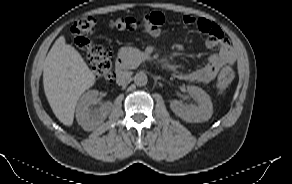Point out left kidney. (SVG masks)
<instances>
[{
    "mask_svg": "<svg viewBox=\"0 0 292 184\" xmlns=\"http://www.w3.org/2000/svg\"><path fill=\"white\" fill-rule=\"evenodd\" d=\"M187 91L197 102V105L186 106L178 100H172L170 102L171 110L186 122L199 123L208 121L213 113L210 96L197 86H187Z\"/></svg>",
    "mask_w": 292,
    "mask_h": 184,
    "instance_id": "obj_1",
    "label": "left kidney"
}]
</instances>
